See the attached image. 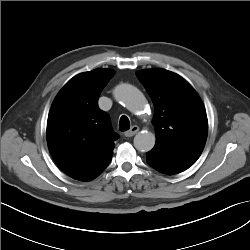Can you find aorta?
<instances>
[{"label":"aorta","mask_w":250,"mask_h":250,"mask_svg":"<svg viewBox=\"0 0 250 250\" xmlns=\"http://www.w3.org/2000/svg\"><path fill=\"white\" fill-rule=\"evenodd\" d=\"M114 98L125 105L131 112L138 113L145 107V98L141 91L130 84H120L114 89ZM155 135L142 131L134 137V147L140 152H148L155 145Z\"/></svg>","instance_id":"762f6f07"}]
</instances>
